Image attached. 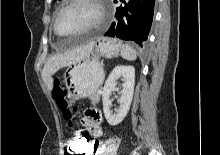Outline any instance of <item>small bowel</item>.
Wrapping results in <instances>:
<instances>
[{
  "instance_id": "c3829d8e",
  "label": "small bowel",
  "mask_w": 220,
  "mask_h": 155,
  "mask_svg": "<svg viewBox=\"0 0 220 155\" xmlns=\"http://www.w3.org/2000/svg\"><path fill=\"white\" fill-rule=\"evenodd\" d=\"M90 111L84 117L82 124L84 125L86 131L89 135L94 139L91 141L89 138V142H92V147H90V155L95 154V152L99 149L100 142L99 138L102 136V122L99 113L96 110L95 105H90ZM75 135H83L81 131H77ZM75 135L72 139H75Z\"/></svg>"
}]
</instances>
